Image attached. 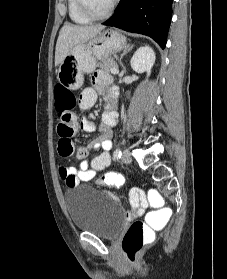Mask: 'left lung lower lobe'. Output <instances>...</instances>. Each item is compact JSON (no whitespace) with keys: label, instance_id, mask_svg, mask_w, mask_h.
I'll return each instance as SVG.
<instances>
[{"label":"left lung lower lobe","instance_id":"left-lung-lower-lobe-1","mask_svg":"<svg viewBox=\"0 0 227 279\" xmlns=\"http://www.w3.org/2000/svg\"><path fill=\"white\" fill-rule=\"evenodd\" d=\"M173 0H121L103 24L153 38L165 48Z\"/></svg>","mask_w":227,"mask_h":279}]
</instances>
